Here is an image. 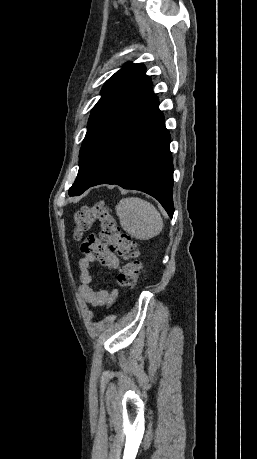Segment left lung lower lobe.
Segmentation results:
<instances>
[{
  "mask_svg": "<svg viewBox=\"0 0 257 459\" xmlns=\"http://www.w3.org/2000/svg\"><path fill=\"white\" fill-rule=\"evenodd\" d=\"M170 135L151 84L108 131L91 186L117 184L156 198L172 218L173 164Z\"/></svg>",
  "mask_w": 257,
  "mask_h": 459,
  "instance_id": "left-lung-lower-lobe-1",
  "label": "left lung lower lobe"
}]
</instances>
